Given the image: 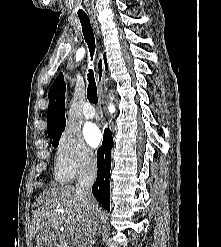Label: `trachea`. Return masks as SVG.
<instances>
[{"mask_svg": "<svg viewBox=\"0 0 221 247\" xmlns=\"http://www.w3.org/2000/svg\"><path fill=\"white\" fill-rule=\"evenodd\" d=\"M78 17L81 22L82 32H83L85 41L88 44L91 56H93L94 50H95V40H94V33H93V29L90 24L89 17L86 14H78ZM88 81H89V84L87 88V98L91 103L97 104L98 96H97V88H96L93 70H89Z\"/></svg>", "mask_w": 221, "mask_h": 247, "instance_id": "trachea-1", "label": "trachea"}]
</instances>
